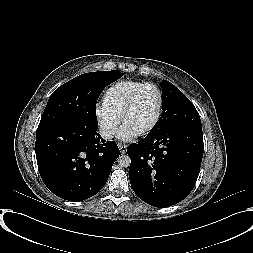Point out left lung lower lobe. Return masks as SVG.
Listing matches in <instances>:
<instances>
[{"label": "left lung lower lobe", "instance_id": "1", "mask_svg": "<svg viewBox=\"0 0 253 253\" xmlns=\"http://www.w3.org/2000/svg\"><path fill=\"white\" fill-rule=\"evenodd\" d=\"M204 144L202 128L178 126L128 146L129 178L135 194L155 207L177 204L193 189Z\"/></svg>", "mask_w": 253, "mask_h": 253}]
</instances>
